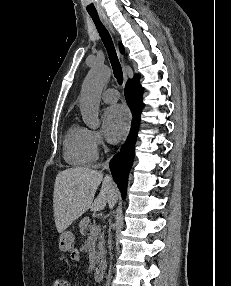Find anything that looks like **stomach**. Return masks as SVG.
Returning a JSON list of instances; mask_svg holds the SVG:
<instances>
[{
	"label": "stomach",
	"mask_w": 231,
	"mask_h": 286,
	"mask_svg": "<svg viewBox=\"0 0 231 286\" xmlns=\"http://www.w3.org/2000/svg\"><path fill=\"white\" fill-rule=\"evenodd\" d=\"M74 240L75 237L71 231L62 232L59 239V249L63 252L70 250Z\"/></svg>",
	"instance_id": "obj_1"
}]
</instances>
